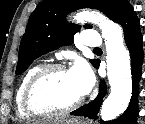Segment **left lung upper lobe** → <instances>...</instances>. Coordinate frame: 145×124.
Listing matches in <instances>:
<instances>
[{"label": "left lung upper lobe", "instance_id": "obj_1", "mask_svg": "<svg viewBox=\"0 0 145 124\" xmlns=\"http://www.w3.org/2000/svg\"><path fill=\"white\" fill-rule=\"evenodd\" d=\"M132 7L127 0H44L31 14L19 48L16 75L23 73L39 56L61 46L70 45L80 26L65 21L66 14L93 8L102 11L118 22L123 13ZM91 28V26H85ZM96 67L97 60H90Z\"/></svg>", "mask_w": 145, "mask_h": 124}]
</instances>
